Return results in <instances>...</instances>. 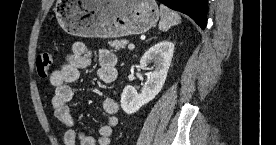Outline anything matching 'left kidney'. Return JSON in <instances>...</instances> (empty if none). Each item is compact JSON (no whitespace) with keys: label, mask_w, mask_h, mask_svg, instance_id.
I'll return each mask as SVG.
<instances>
[{"label":"left kidney","mask_w":276,"mask_h":145,"mask_svg":"<svg viewBox=\"0 0 276 145\" xmlns=\"http://www.w3.org/2000/svg\"><path fill=\"white\" fill-rule=\"evenodd\" d=\"M174 53V44L170 41H161L150 47L140 59L141 67H146L153 63L150 77L141 91L127 85L121 95V107L127 114L137 112L143 105L152 101L161 91L171 65Z\"/></svg>","instance_id":"5707ae66"}]
</instances>
